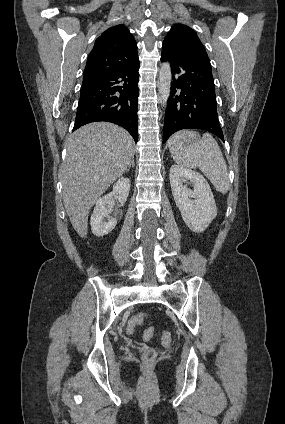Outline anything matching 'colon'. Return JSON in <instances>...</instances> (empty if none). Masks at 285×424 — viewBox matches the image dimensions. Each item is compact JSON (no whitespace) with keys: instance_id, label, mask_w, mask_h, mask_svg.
Here are the masks:
<instances>
[{"instance_id":"obj_1","label":"colon","mask_w":285,"mask_h":424,"mask_svg":"<svg viewBox=\"0 0 285 424\" xmlns=\"http://www.w3.org/2000/svg\"><path fill=\"white\" fill-rule=\"evenodd\" d=\"M146 313H138L135 314L134 316L131 317V319L129 320L127 327H126V331L128 333H133L136 328L141 325V323L144 321V319L146 318ZM154 335V328H148L144 331L143 334V338L145 340H150ZM162 342L165 345H169L172 342V336L170 333L165 332L162 335ZM156 357V352L153 348L151 347H146L144 349L143 352V359L147 362H152Z\"/></svg>"}]
</instances>
